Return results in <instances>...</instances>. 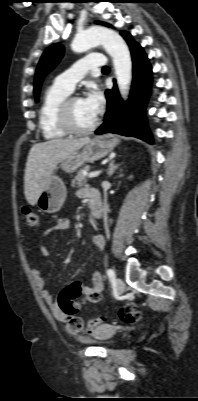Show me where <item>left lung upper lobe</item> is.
Returning <instances> with one entry per match:
<instances>
[{"instance_id":"obj_1","label":"left lung upper lobe","mask_w":198,"mask_h":401,"mask_svg":"<svg viewBox=\"0 0 198 401\" xmlns=\"http://www.w3.org/2000/svg\"><path fill=\"white\" fill-rule=\"evenodd\" d=\"M99 23V22H98ZM120 34L124 37L127 32L121 31ZM64 53V47L59 44H53L48 47L41 59L39 61L36 75H35V82H34V95L36 100H38L39 92L41 88V83L44 77L56 66V64L60 61Z\"/></svg>"}]
</instances>
